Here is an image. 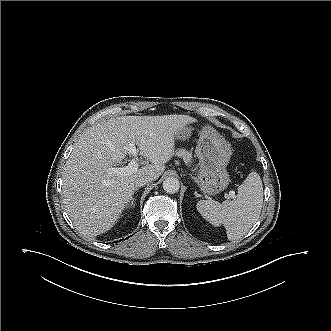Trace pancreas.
Listing matches in <instances>:
<instances>
[{
    "label": "pancreas",
    "mask_w": 331,
    "mask_h": 331,
    "mask_svg": "<svg viewBox=\"0 0 331 331\" xmlns=\"http://www.w3.org/2000/svg\"><path fill=\"white\" fill-rule=\"evenodd\" d=\"M182 157H183V160L186 164H189L191 162V159H192V156L189 152L187 151H182Z\"/></svg>",
    "instance_id": "cf45deb5"
}]
</instances>
